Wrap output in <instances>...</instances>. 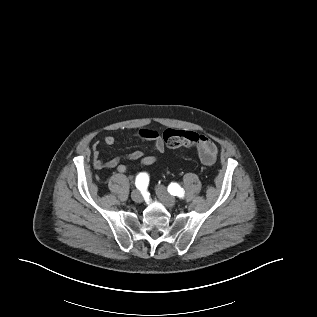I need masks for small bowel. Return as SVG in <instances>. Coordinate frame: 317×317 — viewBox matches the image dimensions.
I'll use <instances>...</instances> for the list:
<instances>
[{"label": "small bowel", "instance_id": "obj_1", "mask_svg": "<svg viewBox=\"0 0 317 317\" xmlns=\"http://www.w3.org/2000/svg\"><path fill=\"white\" fill-rule=\"evenodd\" d=\"M136 136L142 140L150 141L153 143V150L156 153H162L165 150L164 142L159 133L152 129L142 128L137 131ZM103 143L107 146H113L116 144V139L107 135L103 139ZM197 152L200 160L206 164L211 165L215 162L217 156L216 144L207 136L199 135V141L197 143ZM124 161H139L140 165L150 166L157 161L156 155H145L141 150H135L124 156H118L109 160H103L101 158L100 146L96 144L93 147V165L96 169H116L119 173H126L127 167Z\"/></svg>", "mask_w": 317, "mask_h": 317}]
</instances>
